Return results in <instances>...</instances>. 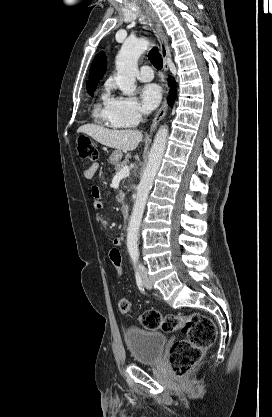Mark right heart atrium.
Segmentation results:
<instances>
[{"label":"right heart atrium","mask_w":272,"mask_h":417,"mask_svg":"<svg viewBox=\"0 0 272 417\" xmlns=\"http://www.w3.org/2000/svg\"><path fill=\"white\" fill-rule=\"evenodd\" d=\"M109 108L114 118L126 127L137 125L145 113L135 98L124 95L111 98Z\"/></svg>","instance_id":"1"}]
</instances>
